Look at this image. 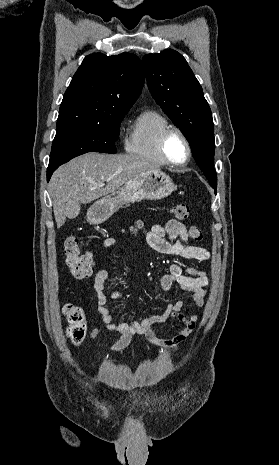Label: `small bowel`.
Returning a JSON list of instances; mask_svg holds the SVG:
<instances>
[{"mask_svg":"<svg viewBox=\"0 0 279 465\" xmlns=\"http://www.w3.org/2000/svg\"><path fill=\"white\" fill-rule=\"evenodd\" d=\"M146 240L152 249L161 254L178 255L185 259L197 261L210 259V252L202 247L192 245L187 228L175 219L169 220L164 226L154 225L147 233ZM115 245L116 241L113 238H107L102 244L105 249H112ZM107 279L108 272L101 269L95 274L93 286L97 297V310L101 315L103 324L118 336L113 349L115 353L125 351L134 334L144 335L163 350L176 352L180 345L195 331L200 318L195 314L184 313L182 300L169 304L163 313L141 321L116 323L111 310L105 306L107 294L113 300L121 299L124 294L109 288L106 285ZM160 284L164 291L170 290L173 285L178 286L192 294V300L196 306L203 307L209 279L204 271L192 267L183 269L179 264H171L168 272L161 277ZM172 320H177L179 323V325L172 324L176 330V335L170 339L158 337L155 328L171 323ZM98 333V329L94 328L90 333V338L95 339Z\"/></svg>","mask_w":279,"mask_h":465,"instance_id":"1","label":"small bowel"}]
</instances>
